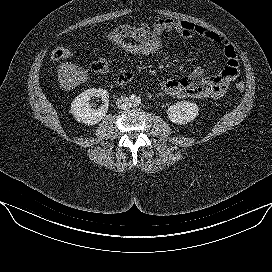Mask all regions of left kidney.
Returning <instances> with one entry per match:
<instances>
[{"label": "left kidney", "mask_w": 272, "mask_h": 272, "mask_svg": "<svg viewBox=\"0 0 272 272\" xmlns=\"http://www.w3.org/2000/svg\"><path fill=\"white\" fill-rule=\"evenodd\" d=\"M199 108L195 103L180 101L171 105L167 110L168 118L176 124H187L198 115Z\"/></svg>", "instance_id": "obj_1"}]
</instances>
